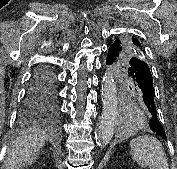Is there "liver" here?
<instances>
[{
    "mask_svg": "<svg viewBox=\"0 0 177 169\" xmlns=\"http://www.w3.org/2000/svg\"><path fill=\"white\" fill-rule=\"evenodd\" d=\"M44 144L45 137L40 134V130H29L28 134L10 144L4 169H21L22 166L31 164Z\"/></svg>",
    "mask_w": 177,
    "mask_h": 169,
    "instance_id": "obj_1",
    "label": "liver"
}]
</instances>
